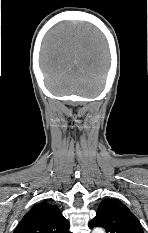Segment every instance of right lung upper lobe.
<instances>
[{
    "label": "right lung upper lobe",
    "instance_id": "obj_1",
    "mask_svg": "<svg viewBox=\"0 0 148 233\" xmlns=\"http://www.w3.org/2000/svg\"><path fill=\"white\" fill-rule=\"evenodd\" d=\"M70 224L51 202L36 204L20 221L14 233H70Z\"/></svg>",
    "mask_w": 148,
    "mask_h": 233
}]
</instances>
